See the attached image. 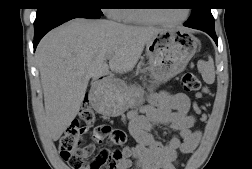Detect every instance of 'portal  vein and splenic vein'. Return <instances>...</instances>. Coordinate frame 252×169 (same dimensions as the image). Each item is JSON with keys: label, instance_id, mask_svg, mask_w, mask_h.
<instances>
[{"label": "portal vein and splenic vein", "instance_id": "portal-vein-and-splenic-vein-1", "mask_svg": "<svg viewBox=\"0 0 252 169\" xmlns=\"http://www.w3.org/2000/svg\"><path fill=\"white\" fill-rule=\"evenodd\" d=\"M110 57L108 56V57H106V59H109Z\"/></svg>", "mask_w": 252, "mask_h": 169}]
</instances>
